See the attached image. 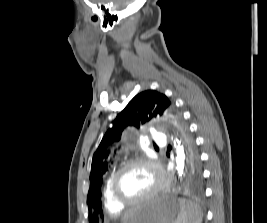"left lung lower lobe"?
Segmentation results:
<instances>
[{"label": "left lung lower lobe", "mask_w": 267, "mask_h": 223, "mask_svg": "<svg viewBox=\"0 0 267 223\" xmlns=\"http://www.w3.org/2000/svg\"><path fill=\"white\" fill-rule=\"evenodd\" d=\"M185 176H189V178L191 179V180H189V184L187 185V188L188 189H198L199 185L196 184V182H199L201 180V177L204 176V171H185ZM170 181L176 182L177 178L171 177Z\"/></svg>", "instance_id": "1"}]
</instances>
